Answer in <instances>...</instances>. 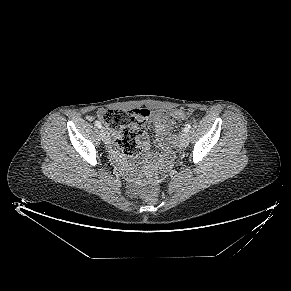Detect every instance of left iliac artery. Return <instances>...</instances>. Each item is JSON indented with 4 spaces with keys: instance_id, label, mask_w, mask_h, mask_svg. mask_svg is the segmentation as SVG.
Returning <instances> with one entry per match:
<instances>
[{
    "instance_id": "1",
    "label": "left iliac artery",
    "mask_w": 291,
    "mask_h": 291,
    "mask_svg": "<svg viewBox=\"0 0 291 291\" xmlns=\"http://www.w3.org/2000/svg\"><path fill=\"white\" fill-rule=\"evenodd\" d=\"M190 128H191V124L188 123V124L185 125L184 131L185 132H189Z\"/></svg>"
}]
</instances>
